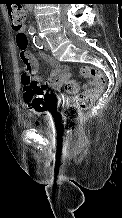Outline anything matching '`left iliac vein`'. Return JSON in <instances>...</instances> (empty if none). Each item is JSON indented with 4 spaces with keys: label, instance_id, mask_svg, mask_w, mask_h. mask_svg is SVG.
Returning <instances> with one entry per match:
<instances>
[{
    "label": "left iliac vein",
    "instance_id": "4c4485c4",
    "mask_svg": "<svg viewBox=\"0 0 122 218\" xmlns=\"http://www.w3.org/2000/svg\"><path fill=\"white\" fill-rule=\"evenodd\" d=\"M43 46L48 50L49 49V44L46 40H43Z\"/></svg>",
    "mask_w": 122,
    "mask_h": 218
}]
</instances>
